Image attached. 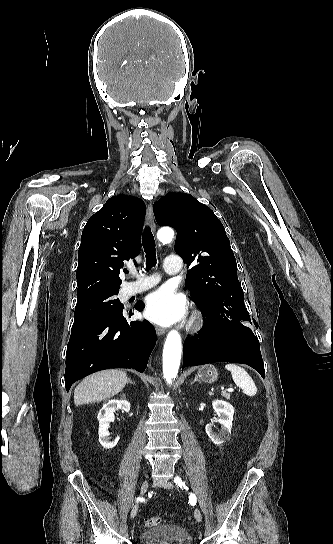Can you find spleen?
<instances>
[{
  "instance_id": "obj_1",
  "label": "spleen",
  "mask_w": 333,
  "mask_h": 544,
  "mask_svg": "<svg viewBox=\"0 0 333 544\" xmlns=\"http://www.w3.org/2000/svg\"><path fill=\"white\" fill-rule=\"evenodd\" d=\"M225 368L231 372L233 381L243 390L244 394L248 396H254L256 394L257 388L255 383L245 369L236 364H226Z\"/></svg>"
}]
</instances>
